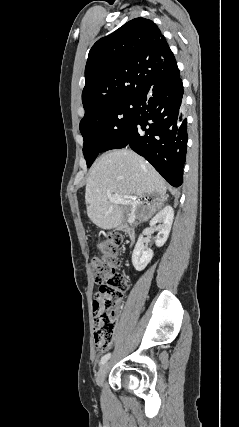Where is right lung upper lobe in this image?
I'll list each match as a JSON object with an SVG mask.
<instances>
[{"instance_id": "cb5924a9", "label": "right lung upper lobe", "mask_w": 239, "mask_h": 427, "mask_svg": "<svg viewBox=\"0 0 239 427\" xmlns=\"http://www.w3.org/2000/svg\"><path fill=\"white\" fill-rule=\"evenodd\" d=\"M178 73L156 24L145 18L130 20L89 52L82 92L85 112L104 101L136 99L143 90Z\"/></svg>"}]
</instances>
